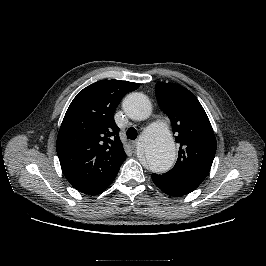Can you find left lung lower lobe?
<instances>
[{
	"mask_svg": "<svg viewBox=\"0 0 266 266\" xmlns=\"http://www.w3.org/2000/svg\"><path fill=\"white\" fill-rule=\"evenodd\" d=\"M152 180L163 192L174 197L186 195L197 188L173 179L165 174H152Z\"/></svg>",
	"mask_w": 266,
	"mask_h": 266,
	"instance_id": "1",
	"label": "left lung lower lobe"
}]
</instances>
